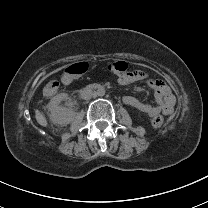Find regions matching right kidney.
I'll use <instances>...</instances> for the list:
<instances>
[{
    "mask_svg": "<svg viewBox=\"0 0 208 208\" xmlns=\"http://www.w3.org/2000/svg\"><path fill=\"white\" fill-rule=\"evenodd\" d=\"M67 98V93H59L50 100L48 108L50 110V119L54 124L65 126L73 121L75 112L59 106L60 102Z\"/></svg>",
    "mask_w": 208,
    "mask_h": 208,
    "instance_id": "obj_1",
    "label": "right kidney"
}]
</instances>
